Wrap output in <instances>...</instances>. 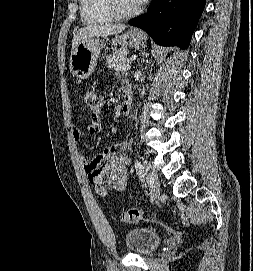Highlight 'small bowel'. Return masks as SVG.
Instances as JSON below:
<instances>
[{
    "instance_id": "obj_1",
    "label": "small bowel",
    "mask_w": 253,
    "mask_h": 271,
    "mask_svg": "<svg viewBox=\"0 0 253 271\" xmlns=\"http://www.w3.org/2000/svg\"><path fill=\"white\" fill-rule=\"evenodd\" d=\"M101 130V119L99 117L92 118L87 127V134L96 135ZM70 133L75 140L81 137L80 130L75 126L70 127ZM128 145L127 141H122L104 147L93 161H87L83 154H79V159L88 173V178L99 195L105 196L110 191L125 189L128 179L127 167L130 160L121 154L128 148Z\"/></svg>"
}]
</instances>
